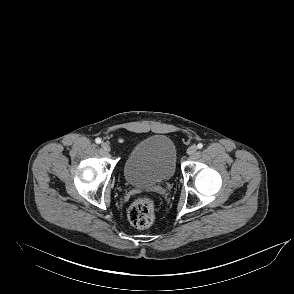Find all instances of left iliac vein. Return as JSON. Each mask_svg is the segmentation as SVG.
Returning <instances> with one entry per match:
<instances>
[{
  "label": "left iliac vein",
  "mask_w": 294,
  "mask_h": 294,
  "mask_svg": "<svg viewBox=\"0 0 294 294\" xmlns=\"http://www.w3.org/2000/svg\"><path fill=\"white\" fill-rule=\"evenodd\" d=\"M196 151H197V147H196L195 145H192V146H190V147L187 149V153H188L189 155H193V154H195Z\"/></svg>",
  "instance_id": "1"
}]
</instances>
